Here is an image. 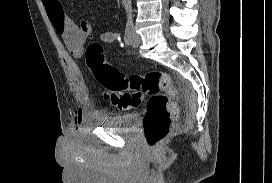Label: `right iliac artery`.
I'll use <instances>...</instances> for the list:
<instances>
[{
  "label": "right iliac artery",
  "mask_w": 272,
  "mask_h": 183,
  "mask_svg": "<svg viewBox=\"0 0 272 183\" xmlns=\"http://www.w3.org/2000/svg\"><path fill=\"white\" fill-rule=\"evenodd\" d=\"M132 37H133V25L127 24L125 28V34H124V42L126 45H131Z\"/></svg>",
  "instance_id": "82829eb1"
}]
</instances>
